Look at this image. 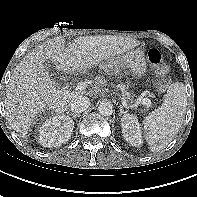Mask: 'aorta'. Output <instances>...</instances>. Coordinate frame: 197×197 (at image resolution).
I'll return each instance as SVG.
<instances>
[{
    "label": "aorta",
    "instance_id": "1",
    "mask_svg": "<svg viewBox=\"0 0 197 197\" xmlns=\"http://www.w3.org/2000/svg\"><path fill=\"white\" fill-rule=\"evenodd\" d=\"M98 111L103 116H110L113 113V105L109 101H103L99 104Z\"/></svg>",
    "mask_w": 197,
    "mask_h": 197
}]
</instances>
